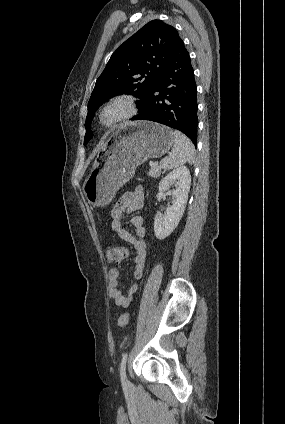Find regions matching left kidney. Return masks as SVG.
Returning a JSON list of instances; mask_svg holds the SVG:
<instances>
[{"label":"left kidney","mask_w":285,"mask_h":424,"mask_svg":"<svg viewBox=\"0 0 285 424\" xmlns=\"http://www.w3.org/2000/svg\"><path fill=\"white\" fill-rule=\"evenodd\" d=\"M173 183L176 189L170 192L174 198L172 205L167 207L164 215L156 214L154 218L155 236L160 240L174 231L183 216L191 185L189 169L185 166L178 167L163 177L159 183L160 194L169 191Z\"/></svg>","instance_id":"left-kidney-1"}]
</instances>
